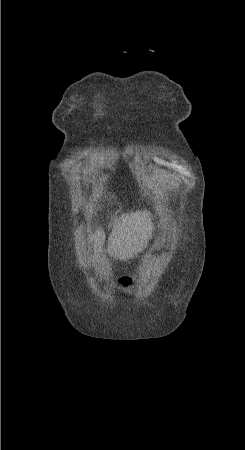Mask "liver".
Instances as JSON below:
<instances>
[{"label":"liver","mask_w":245,"mask_h":450,"mask_svg":"<svg viewBox=\"0 0 245 450\" xmlns=\"http://www.w3.org/2000/svg\"><path fill=\"white\" fill-rule=\"evenodd\" d=\"M150 212L136 211L122 214L113 220L112 232L108 239V253L120 260L133 258L147 244L151 237L152 222ZM105 240L102 227H98L91 236L95 253L100 251Z\"/></svg>","instance_id":"obj_1"}]
</instances>
